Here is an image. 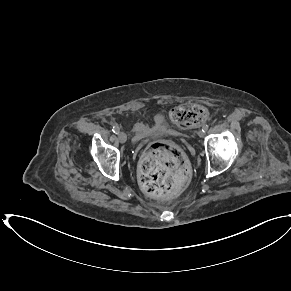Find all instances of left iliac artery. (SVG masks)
Here are the masks:
<instances>
[{
	"instance_id": "obj_1",
	"label": "left iliac artery",
	"mask_w": 291,
	"mask_h": 291,
	"mask_svg": "<svg viewBox=\"0 0 291 291\" xmlns=\"http://www.w3.org/2000/svg\"><path fill=\"white\" fill-rule=\"evenodd\" d=\"M208 127L209 126L207 124L203 125V127H202L203 132H206L208 130Z\"/></svg>"
}]
</instances>
